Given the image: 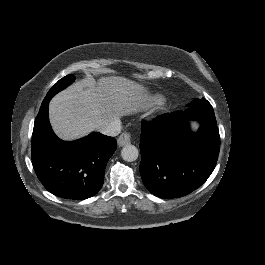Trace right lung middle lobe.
Returning <instances> with one entry per match:
<instances>
[{
  "mask_svg": "<svg viewBox=\"0 0 265 265\" xmlns=\"http://www.w3.org/2000/svg\"><path fill=\"white\" fill-rule=\"evenodd\" d=\"M75 76L74 75H67L60 79L47 93L46 97L44 98L43 102L50 101L51 98L57 94L59 91L63 90L67 86H69L72 82H74Z\"/></svg>",
  "mask_w": 265,
  "mask_h": 265,
  "instance_id": "right-lung-middle-lobe-1",
  "label": "right lung middle lobe"
}]
</instances>
